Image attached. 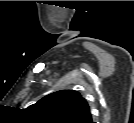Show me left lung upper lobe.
<instances>
[{
  "label": "left lung upper lobe",
  "mask_w": 134,
  "mask_h": 123,
  "mask_svg": "<svg viewBox=\"0 0 134 123\" xmlns=\"http://www.w3.org/2000/svg\"><path fill=\"white\" fill-rule=\"evenodd\" d=\"M29 109L44 120L56 123H91L87 101L75 90L51 93Z\"/></svg>",
  "instance_id": "obj_1"
}]
</instances>
